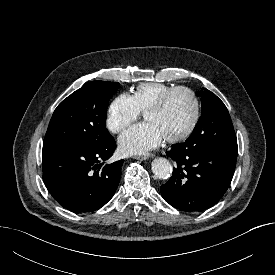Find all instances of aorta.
Here are the masks:
<instances>
[{
  "label": "aorta",
  "instance_id": "762f6f07",
  "mask_svg": "<svg viewBox=\"0 0 275 275\" xmlns=\"http://www.w3.org/2000/svg\"><path fill=\"white\" fill-rule=\"evenodd\" d=\"M151 169L153 174L159 179H168L172 174V166L169 160L163 157L155 158Z\"/></svg>",
  "mask_w": 275,
  "mask_h": 275
}]
</instances>
